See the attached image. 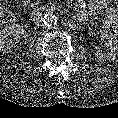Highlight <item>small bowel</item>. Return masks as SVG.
I'll use <instances>...</instances> for the list:
<instances>
[{
  "instance_id": "c3829d8e",
  "label": "small bowel",
  "mask_w": 118,
  "mask_h": 118,
  "mask_svg": "<svg viewBox=\"0 0 118 118\" xmlns=\"http://www.w3.org/2000/svg\"><path fill=\"white\" fill-rule=\"evenodd\" d=\"M91 6L93 10H104L112 22V28L118 33V8L107 5L104 0H92Z\"/></svg>"
}]
</instances>
